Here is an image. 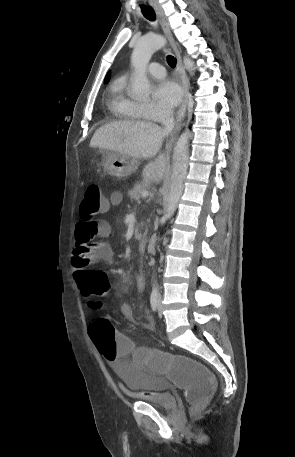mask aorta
I'll return each instance as SVG.
<instances>
[{
  "label": "aorta",
  "mask_w": 295,
  "mask_h": 457,
  "mask_svg": "<svg viewBox=\"0 0 295 457\" xmlns=\"http://www.w3.org/2000/svg\"><path fill=\"white\" fill-rule=\"evenodd\" d=\"M165 38L159 34H150L140 38L134 46L131 55V64L135 69V76L132 83V93L136 98L146 99L150 95L151 85L147 78V65L157 50L165 45ZM184 67L193 73L194 62L188 57H184ZM189 138L188 132H184L178 138L173 153V168L170 178V190L168 195L167 209L165 217L170 219L177 208L178 202L184 190V182L187 175L189 162ZM154 284L152 292H157Z\"/></svg>",
  "instance_id": "obj_1"
}]
</instances>
